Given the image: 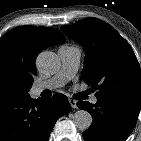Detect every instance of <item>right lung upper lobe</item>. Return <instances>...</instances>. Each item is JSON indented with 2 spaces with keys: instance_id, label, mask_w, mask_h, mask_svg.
<instances>
[{
  "instance_id": "1",
  "label": "right lung upper lobe",
  "mask_w": 141,
  "mask_h": 141,
  "mask_svg": "<svg viewBox=\"0 0 141 141\" xmlns=\"http://www.w3.org/2000/svg\"><path fill=\"white\" fill-rule=\"evenodd\" d=\"M64 41V35L54 28H14L0 39V73L22 71L34 75L38 53Z\"/></svg>"
}]
</instances>
